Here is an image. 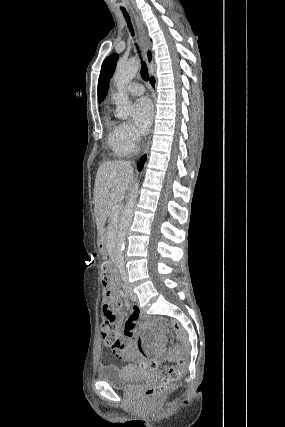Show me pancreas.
<instances>
[{
    "label": "pancreas",
    "mask_w": 285,
    "mask_h": 427,
    "mask_svg": "<svg viewBox=\"0 0 285 427\" xmlns=\"http://www.w3.org/2000/svg\"><path fill=\"white\" fill-rule=\"evenodd\" d=\"M116 229H117V223L113 219V215L111 213L110 224H109V227H108V235H109L110 238L114 235Z\"/></svg>",
    "instance_id": "pancreas-1"
}]
</instances>
